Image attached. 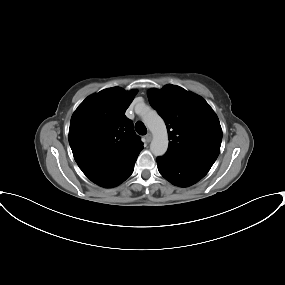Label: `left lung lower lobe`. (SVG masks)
<instances>
[{"instance_id":"obj_1","label":"left lung lower lobe","mask_w":285,"mask_h":285,"mask_svg":"<svg viewBox=\"0 0 285 285\" xmlns=\"http://www.w3.org/2000/svg\"><path fill=\"white\" fill-rule=\"evenodd\" d=\"M160 174L180 187L190 186L203 178L211 167L165 154L157 158Z\"/></svg>"}]
</instances>
